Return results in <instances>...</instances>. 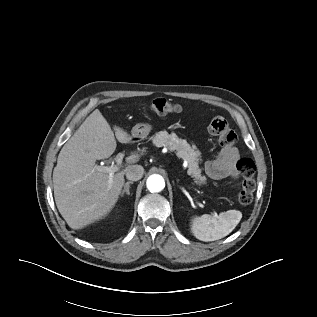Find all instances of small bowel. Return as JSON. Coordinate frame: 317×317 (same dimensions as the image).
Here are the masks:
<instances>
[{"label": "small bowel", "mask_w": 317, "mask_h": 317, "mask_svg": "<svg viewBox=\"0 0 317 317\" xmlns=\"http://www.w3.org/2000/svg\"><path fill=\"white\" fill-rule=\"evenodd\" d=\"M238 158L239 152L236 147H224L215 160L205 164V173L212 179H235L238 176L236 170Z\"/></svg>", "instance_id": "small-bowel-1"}]
</instances>
